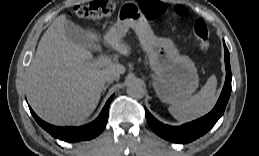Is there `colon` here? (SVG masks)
<instances>
[{
  "mask_svg": "<svg viewBox=\"0 0 259 156\" xmlns=\"http://www.w3.org/2000/svg\"><path fill=\"white\" fill-rule=\"evenodd\" d=\"M140 9L150 20L161 17L166 8L157 0H142ZM115 3L111 0H95L85 4L77 5L73 9V15L81 19H99L112 15L115 11ZM174 12L179 16H186L187 12L181 7H176ZM193 35L196 38L199 50L207 51L210 47L209 32L203 20H196L193 24Z\"/></svg>",
  "mask_w": 259,
  "mask_h": 156,
  "instance_id": "5ec220e1",
  "label": "colon"
}]
</instances>
